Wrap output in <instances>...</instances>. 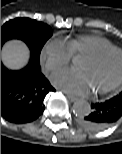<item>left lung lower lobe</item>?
Returning <instances> with one entry per match:
<instances>
[{"label": "left lung lower lobe", "instance_id": "0a47b994", "mask_svg": "<svg viewBox=\"0 0 122 154\" xmlns=\"http://www.w3.org/2000/svg\"><path fill=\"white\" fill-rule=\"evenodd\" d=\"M91 109L88 115L79 119L80 125L91 131L107 129L122 117V94L92 104Z\"/></svg>", "mask_w": 122, "mask_h": 154}]
</instances>
